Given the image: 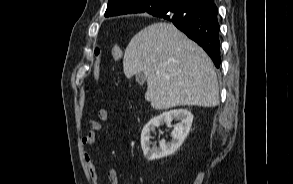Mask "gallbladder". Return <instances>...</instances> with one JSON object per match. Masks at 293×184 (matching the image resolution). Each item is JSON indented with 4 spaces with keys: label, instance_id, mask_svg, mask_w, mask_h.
Wrapping results in <instances>:
<instances>
[{
    "label": "gallbladder",
    "instance_id": "gallbladder-1",
    "mask_svg": "<svg viewBox=\"0 0 293 184\" xmlns=\"http://www.w3.org/2000/svg\"><path fill=\"white\" fill-rule=\"evenodd\" d=\"M136 81L139 83H143L145 81V76L143 73L136 74Z\"/></svg>",
    "mask_w": 293,
    "mask_h": 184
}]
</instances>
